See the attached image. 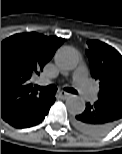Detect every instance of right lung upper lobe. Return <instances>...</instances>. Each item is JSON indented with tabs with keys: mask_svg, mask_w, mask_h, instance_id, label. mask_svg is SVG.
I'll list each match as a JSON object with an SVG mask.
<instances>
[{
	"mask_svg": "<svg viewBox=\"0 0 122 154\" xmlns=\"http://www.w3.org/2000/svg\"><path fill=\"white\" fill-rule=\"evenodd\" d=\"M64 39L20 33L1 42V117L9 121L48 94L38 92L31 77L39 75Z\"/></svg>",
	"mask_w": 122,
	"mask_h": 154,
	"instance_id": "1",
	"label": "right lung upper lobe"
}]
</instances>
